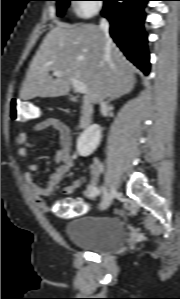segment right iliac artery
Segmentation results:
<instances>
[{
	"instance_id": "82829eb1",
	"label": "right iliac artery",
	"mask_w": 180,
	"mask_h": 299,
	"mask_svg": "<svg viewBox=\"0 0 180 299\" xmlns=\"http://www.w3.org/2000/svg\"><path fill=\"white\" fill-rule=\"evenodd\" d=\"M101 192H102L104 197L107 195V190L104 186L101 187Z\"/></svg>"
}]
</instances>
